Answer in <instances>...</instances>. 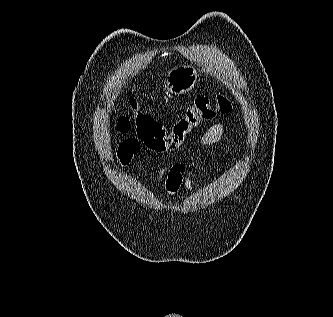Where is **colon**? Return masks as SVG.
Wrapping results in <instances>:
<instances>
[{"label":"colon","instance_id":"obj_1","mask_svg":"<svg viewBox=\"0 0 333 317\" xmlns=\"http://www.w3.org/2000/svg\"><path fill=\"white\" fill-rule=\"evenodd\" d=\"M131 108L139 141L151 151L165 154L179 149L188 135L202 123L229 113L232 107L230 101L223 95L198 96L169 128H165L152 114L136 103L132 104ZM117 129L121 133H128L131 121L121 116L117 122Z\"/></svg>","mask_w":333,"mask_h":317}]
</instances>
